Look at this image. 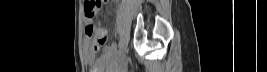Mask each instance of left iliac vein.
Masks as SVG:
<instances>
[{
  "mask_svg": "<svg viewBox=\"0 0 267 72\" xmlns=\"http://www.w3.org/2000/svg\"><path fill=\"white\" fill-rule=\"evenodd\" d=\"M126 61H127V49H126V47H125V48H124V51H123V54H122V56H121V63H122V64H125Z\"/></svg>",
  "mask_w": 267,
  "mask_h": 72,
  "instance_id": "obj_1",
  "label": "left iliac vein"
}]
</instances>
